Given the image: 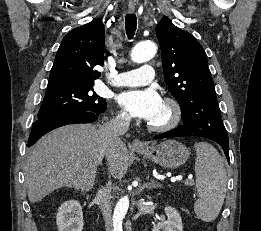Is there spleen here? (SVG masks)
<instances>
[{
  "label": "spleen",
  "mask_w": 261,
  "mask_h": 231,
  "mask_svg": "<svg viewBox=\"0 0 261 231\" xmlns=\"http://www.w3.org/2000/svg\"><path fill=\"white\" fill-rule=\"evenodd\" d=\"M196 187L199 198L194 204L198 218L204 222L214 221L223 205L227 187V174L223 158L207 142L195 143Z\"/></svg>",
  "instance_id": "obj_1"
}]
</instances>
